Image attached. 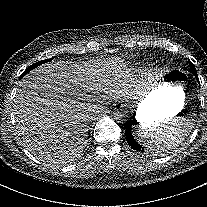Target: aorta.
Listing matches in <instances>:
<instances>
[{"label":"aorta","mask_w":207,"mask_h":207,"mask_svg":"<svg viewBox=\"0 0 207 207\" xmlns=\"http://www.w3.org/2000/svg\"><path fill=\"white\" fill-rule=\"evenodd\" d=\"M113 118L118 122H127L129 120L128 110L124 107H120L113 113Z\"/></svg>","instance_id":"obj_1"}]
</instances>
